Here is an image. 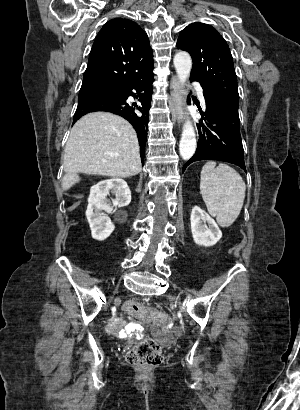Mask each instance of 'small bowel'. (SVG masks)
<instances>
[{
	"instance_id": "obj_1",
	"label": "small bowel",
	"mask_w": 300,
	"mask_h": 410,
	"mask_svg": "<svg viewBox=\"0 0 300 410\" xmlns=\"http://www.w3.org/2000/svg\"><path fill=\"white\" fill-rule=\"evenodd\" d=\"M137 329V325L124 322H115L109 327V331L113 334H131Z\"/></svg>"
}]
</instances>
